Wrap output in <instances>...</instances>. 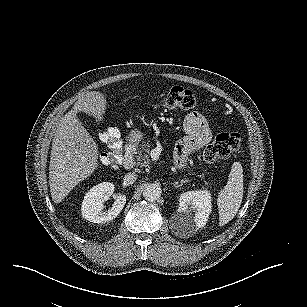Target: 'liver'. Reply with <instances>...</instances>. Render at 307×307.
I'll return each mask as SVG.
<instances>
[{
	"label": "liver",
	"mask_w": 307,
	"mask_h": 307,
	"mask_svg": "<svg viewBox=\"0 0 307 307\" xmlns=\"http://www.w3.org/2000/svg\"><path fill=\"white\" fill-rule=\"evenodd\" d=\"M104 106L105 101L98 92H89L79 98L73 110L66 113L57 125L49 162L50 193L57 203L79 181L87 178L97 165V145L77 120L76 112L99 116Z\"/></svg>",
	"instance_id": "1"
}]
</instances>
